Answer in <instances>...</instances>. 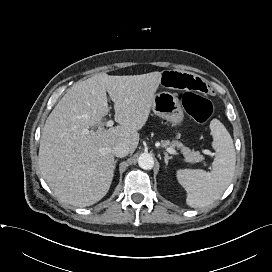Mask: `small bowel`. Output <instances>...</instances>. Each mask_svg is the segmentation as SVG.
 I'll list each match as a JSON object with an SVG mask.
<instances>
[{"instance_id":"1","label":"small bowel","mask_w":272,"mask_h":272,"mask_svg":"<svg viewBox=\"0 0 272 272\" xmlns=\"http://www.w3.org/2000/svg\"><path fill=\"white\" fill-rule=\"evenodd\" d=\"M161 83L167 88L183 90L199 94L211 92V88L201 78L179 71H165L161 76Z\"/></svg>"}]
</instances>
